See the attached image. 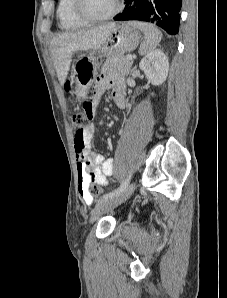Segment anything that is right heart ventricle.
Wrapping results in <instances>:
<instances>
[{"label": "right heart ventricle", "mask_w": 227, "mask_h": 298, "mask_svg": "<svg viewBox=\"0 0 227 298\" xmlns=\"http://www.w3.org/2000/svg\"><path fill=\"white\" fill-rule=\"evenodd\" d=\"M57 16L59 25L64 30L80 29L88 25V22L77 16L74 9V0H59Z\"/></svg>", "instance_id": "right-heart-ventricle-1"}]
</instances>
